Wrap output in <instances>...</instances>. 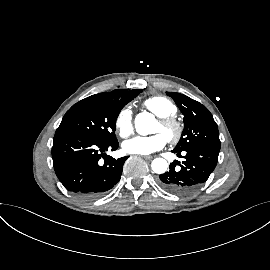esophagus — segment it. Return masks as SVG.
Masks as SVG:
<instances>
[{"instance_id": "1", "label": "esophagus", "mask_w": 270, "mask_h": 270, "mask_svg": "<svg viewBox=\"0 0 270 270\" xmlns=\"http://www.w3.org/2000/svg\"><path fill=\"white\" fill-rule=\"evenodd\" d=\"M143 158L146 159V160H152L153 156H144Z\"/></svg>"}]
</instances>
